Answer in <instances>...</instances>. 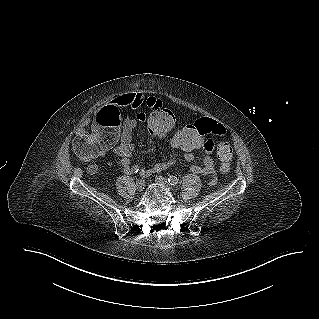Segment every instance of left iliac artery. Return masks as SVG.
Instances as JSON below:
<instances>
[{
    "label": "left iliac artery",
    "instance_id": "left-iliac-artery-1",
    "mask_svg": "<svg viewBox=\"0 0 319 319\" xmlns=\"http://www.w3.org/2000/svg\"><path fill=\"white\" fill-rule=\"evenodd\" d=\"M168 182L170 183V185L175 186L178 184V179L175 176H169Z\"/></svg>",
    "mask_w": 319,
    "mask_h": 319
}]
</instances>
